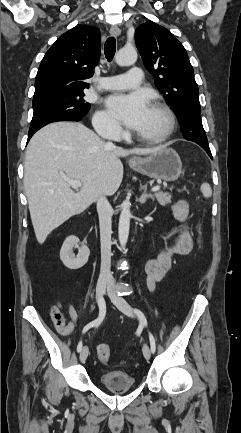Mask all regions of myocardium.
Segmentation results:
<instances>
[{
  "mask_svg": "<svg viewBox=\"0 0 241 433\" xmlns=\"http://www.w3.org/2000/svg\"><path fill=\"white\" fill-rule=\"evenodd\" d=\"M151 107L156 110H159L166 116L167 118L166 129L158 135H146L143 133L136 132V136L144 142L158 144L166 141L173 134L176 127V117L172 109L163 102L155 101L152 103Z\"/></svg>",
  "mask_w": 241,
  "mask_h": 433,
  "instance_id": "1",
  "label": "myocardium"
}]
</instances>
